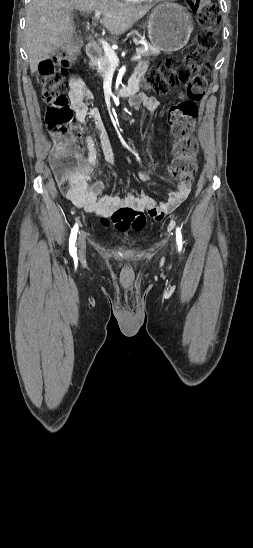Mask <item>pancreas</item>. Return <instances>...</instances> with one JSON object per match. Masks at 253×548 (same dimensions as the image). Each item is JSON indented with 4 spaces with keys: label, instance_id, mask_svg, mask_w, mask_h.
I'll use <instances>...</instances> for the list:
<instances>
[{
    "label": "pancreas",
    "instance_id": "1",
    "mask_svg": "<svg viewBox=\"0 0 253 548\" xmlns=\"http://www.w3.org/2000/svg\"><path fill=\"white\" fill-rule=\"evenodd\" d=\"M136 53L140 54L143 57L157 56L160 53V49L156 46L148 45L147 49H145L144 47H138L136 49ZM110 66L111 63L105 53L101 55L98 59L90 62V67H96L97 72L102 75V77L105 76Z\"/></svg>",
    "mask_w": 253,
    "mask_h": 548
}]
</instances>
